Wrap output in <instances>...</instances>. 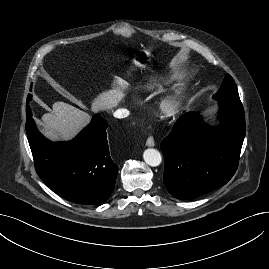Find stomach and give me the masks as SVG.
<instances>
[{"label":"stomach","mask_w":269,"mask_h":269,"mask_svg":"<svg viewBox=\"0 0 269 269\" xmlns=\"http://www.w3.org/2000/svg\"><path fill=\"white\" fill-rule=\"evenodd\" d=\"M151 59L152 52L146 48L137 50L132 56V62L141 69L147 68L151 63Z\"/></svg>","instance_id":"stomach-1"}]
</instances>
